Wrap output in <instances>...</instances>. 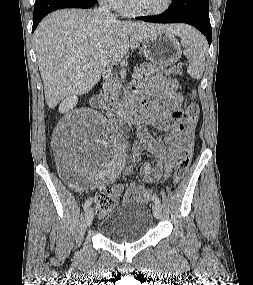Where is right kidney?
Masks as SVG:
<instances>
[{
	"instance_id": "obj_1",
	"label": "right kidney",
	"mask_w": 253,
	"mask_h": 285,
	"mask_svg": "<svg viewBox=\"0 0 253 285\" xmlns=\"http://www.w3.org/2000/svg\"><path fill=\"white\" fill-rule=\"evenodd\" d=\"M77 104V97L76 96H69L63 100L60 104L59 110L61 112L68 111L70 108Z\"/></svg>"
}]
</instances>
